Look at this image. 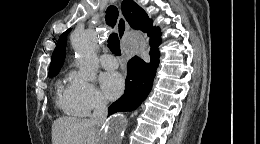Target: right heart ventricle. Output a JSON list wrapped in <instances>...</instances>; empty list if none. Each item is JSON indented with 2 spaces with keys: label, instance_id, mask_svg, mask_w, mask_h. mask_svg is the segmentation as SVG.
I'll return each mask as SVG.
<instances>
[{
  "label": "right heart ventricle",
  "instance_id": "e07e8e85",
  "mask_svg": "<svg viewBox=\"0 0 260 144\" xmlns=\"http://www.w3.org/2000/svg\"><path fill=\"white\" fill-rule=\"evenodd\" d=\"M58 86L60 88V93L58 95V99H57V104L58 106L68 115L71 116H77L78 113L76 112V110L74 109L70 98H69V92H68V87L63 88L61 86V82H58Z\"/></svg>",
  "mask_w": 260,
  "mask_h": 144
}]
</instances>
